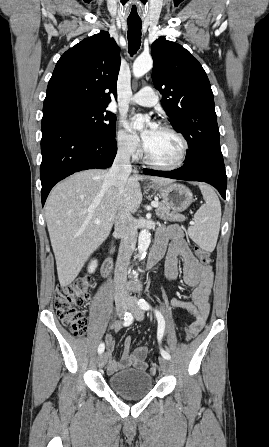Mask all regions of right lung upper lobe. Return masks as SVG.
Masks as SVG:
<instances>
[{
    "instance_id": "right-lung-upper-lobe-1",
    "label": "right lung upper lobe",
    "mask_w": 269,
    "mask_h": 447,
    "mask_svg": "<svg viewBox=\"0 0 269 447\" xmlns=\"http://www.w3.org/2000/svg\"><path fill=\"white\" fill-rule=\"evenodd\" d=\"M120 49L106 31L86 38L58 60L48 83L43 115L64 106L107 107L117 97Z\"/></svg>"
}]
</instances>
